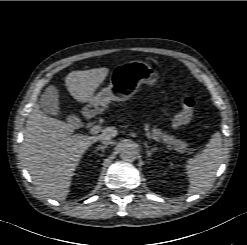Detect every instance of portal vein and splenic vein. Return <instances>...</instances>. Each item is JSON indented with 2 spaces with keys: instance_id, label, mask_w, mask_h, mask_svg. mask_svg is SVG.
I'll use <instances>...</instances> for the list:
<instances>
[{
  "instance_id": "portal-vein-and-splenic-vein-1",
  "label": "portal vein and splenic vein",
  "mask_w": 247,
  "mask_h": 245,
  "mask_svg": "<svg viewBox=\"0 0 247 245\" xmlns=\"http://www.w3.org/2000/svg\"><path fill=\"white\" fill-rule=\"evenodd\" d=\"M101 131V127L96 125V126H93L91 129H90V134H97ZM147 136L149 138H152L153 140L157 141V142H162V140L154 135H150L149 133H147Z\"/></svg>"
}]
</instances>
